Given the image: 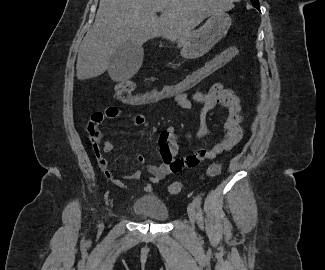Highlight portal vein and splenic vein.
Segmentation results:
<instances>
[{
	"label": "portal vein and splenic vein",
	"instance_id": "1",
	"mask_svg": "<svg viewBox=\"0 0 325 270\" xmlns=\"http://www.w3.org/2000/svg\"><path fill=\"white\" fill-rule=\"evenodd\" d=\"M157 11H163V9L162 8H158V10Z\"/></svg>",
	"mask_w": 325,
	"mask_h": 270
}]
</instances>
